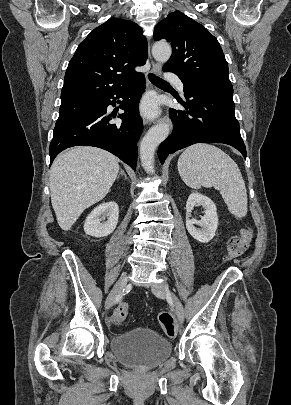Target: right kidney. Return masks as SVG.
I'll use <instances>...</instances> for the list:
<instances>
[{
  "instance_id": "right-kidney-1",
  "label": "right kidney",
  "mask_w": 291,
  "mask_h": 405,
  "mask_svg": "<svg viewBox=\"0 0 291 405\" xmlns=\"http://www.w3.org/2000/svg\"><path fill=\"white\" fill-rule=\"evenodd\" d=\"M119 217V207L113 202L102 203L97 206L86 218L84 231L94 237L110 235L116 228ZM107 220L101 222L102 220Z\"/></svg>"
}]
</instances>
